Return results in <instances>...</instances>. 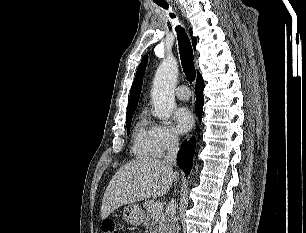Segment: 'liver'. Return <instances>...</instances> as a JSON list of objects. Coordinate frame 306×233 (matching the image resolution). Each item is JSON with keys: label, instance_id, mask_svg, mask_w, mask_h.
<instances>
[{"label": "liver", "instance_id": "liver-1", "mask_svg": "<svg viewBox=\"0 0 306 233\" xmlns=\"http://www.w3.org/2000/svg\"><path fill=\"white\" fill-rule=\"evenodd\" d=\"M178 173L162 160L139 158L122 166L109 182L103 196L101 218L120 206L167 194Z\"/></svg>", "mask_w": 306, "mask_h": 233}]
</instances>
